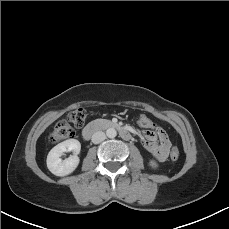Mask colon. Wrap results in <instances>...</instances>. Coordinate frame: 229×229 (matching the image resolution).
I'll return each mask as SVG.
<instances>
[{"mask_svg": "<svg viewBox=\"0 0 229 229\" xmlns=\"http://www.w3.org/2000/svg\"><path fill=\"white\" fill-rule=\"evenodd\" d=\"M68 120H61L56 123L51 134L50 141L52 143H58L66 139L73 138L75 131L72 127V124L76 127H80L84 124L86 114L83 109L72 110L69 115ZM180 157V151L177 147H174L171 150L170 158L172 161H177Z\"/></svg>", "mask_w": 229, "mask_h": 229, "instance_id": "5ec220e1", "label": "colon"}]
</instances>
